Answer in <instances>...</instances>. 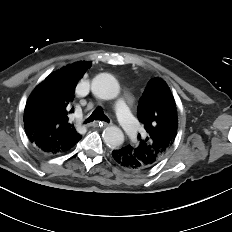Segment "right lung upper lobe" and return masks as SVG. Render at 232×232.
Returning <instances> with one entry per match:
<instances>
[{
  "mask_svg": "<svg viewBox=\"0 0 232 232\" xmlns=\"http://www.w3.org/2000/svg\"><path fill=\"white\" fill-rule=\"evenodd\" d=\"M91 62H77L52 72L36 86L24 110V127L29 141L48 155L70 150L82 136L68 121L74 91Z\"/></svg>",
  "mask_w": 232,
  "mask_h": 232,
  "instance_id": "1",
  "label": "right lung upper lobe"
}]
</instances>
